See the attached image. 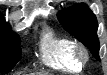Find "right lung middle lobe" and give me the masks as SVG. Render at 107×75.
<instances>
[{
	"label": "right lung middle lobe",
	"mask_w": 107,
	"mask_h": 75,
	"mask_svg": "<svg viewBox=\"0 0 107 75\" xmlns=\"http://www.w3.org/2000/svg\"><path fill=\"white\" fill-rule=\"evenodd\" d=\"M18 36L11 34L9 26L0 29V72L14 68L21 58Z\"/></svg>",
	"instance_id": "obj_1"
}]
</instances>
